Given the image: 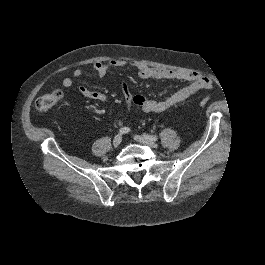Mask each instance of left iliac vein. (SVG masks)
Segmentation results:
<instances>
[{"label":"left iliac vein","instance_id":"4c4485c4","mask_svg":"<svg viewBox=\"0 0 265 265\" xmlns=\"http://www.w3.org/2000/svg\"><path fill=\"white\" fill-rule=\"evenodd\" d=\"M134 139L144 145H148L150 147L155 148L156 147V143L153 139H151L150 137L147 136H141V135H134Z\"/></svg>","mask_w":265,"mask_h":265}]
</instances>
